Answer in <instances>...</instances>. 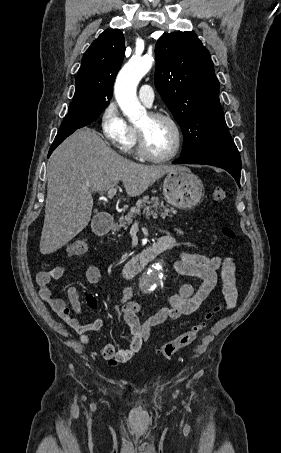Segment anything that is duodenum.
Listing matches in <instances>:
<instances>
[{"label":"duodenum","mask_w":281,"mask_h":453,"mask_svg":"<svg viewBox=\"0 0 281 453\" xmlns=\"http://www.w3.org/2000/svg\"><path fill=\"white\" fill-rule=\"evenodd\" d=\"M112 224L113 221L110 217H99L93 224V230L95 234L102 236L110 230ZM169 248L170 243L166 238L158 239L127 262L123 269V276L125 278L135 276L149 261Z\"/></svg>","instance_id":"obj_1"}]
</instances>
